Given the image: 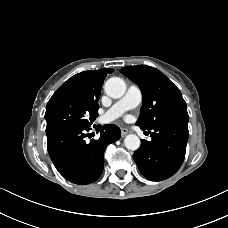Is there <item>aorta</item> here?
Here are the masks:
<instances>
[{"label":"aorta","instance_id":"1","mask_svg":"<svg viewBox=\"0 0 228 228\" xmlns=\"http://www.w3.org/2000/svg\"><path fill=\"white\" fill-rule=\"evenodd\" d=\"M105 93L111 98H120L126 92V84L119 77L108 79L104 85ZM140 139L135 134H129L124 139V145L128 150L135 151L140 147Z\"/></svg>","mask_w":228,"mask_h":228}]
</instances>
